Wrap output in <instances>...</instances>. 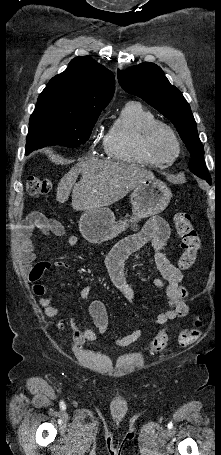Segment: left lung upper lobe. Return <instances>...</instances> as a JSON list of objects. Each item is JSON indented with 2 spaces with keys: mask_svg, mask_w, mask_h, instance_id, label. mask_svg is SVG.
Listing matches in <instances>:
<instances>
[{
  "mask_svg": "<svg viewBox=\"0 0 221 455\" xmlns=\"http://www.w3.org/2000/svg\"><path fill=\"white\" fill-rule=\"evenodd\" d=\"M117 75L119 84L126 92L142 98L174 124L190 152L189 169L210 181L204 162V149L190 106L182 93L169 83L162 69L156 64L144 62L126 71L118 70Z\"/></svg>",
  "mask_w": 221,
  "mask_h": 455,
  "instance_id": "5c2ea615",
  "label": "left lung upper lobe"
}]
</instances>
